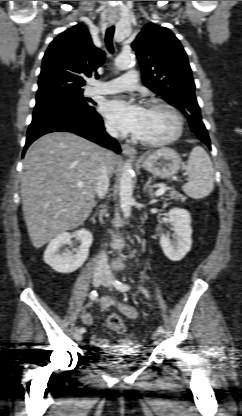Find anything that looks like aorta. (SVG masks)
<instances>
[{
    "label": "aorta",
    "instance_id": "762f6f07",
    "mask_svg": "<svg viewBox=\"0 0 242 416\" xmlns=\"http://www.w3.org/2000/svg\"><path fill=\"white\" fill-rule=\"evenodd\" d=\"M134 61L131 53H121L115 60V65L120 70L128 69ZM133 170L130 162L124 164L122 175L119 182L120 207L125 218L131 214L133 203Z\"/></svg>",
    "mask_w": 242,
    "mask_h": 416
}]
</instances>
